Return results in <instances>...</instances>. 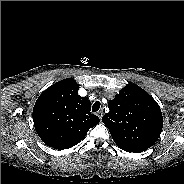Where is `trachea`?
Instances as JSON below:
<instances>
[{
    "instance_id": "3493384b",
    "label": "trachea",
    "mask_w": 184,
    "mask_h": 184,
    "mask_svg": "<svg viewBox=\"0 0 184 184\" xmlns=\"http://www.w3.org/2000/svg\"><path fill=\"white\" fill-rule=\"evenodd\" d=\"M100 102L99 101H96L93 106H92V112H97L100 108Z\"/></svg>"
}]
</instances>
